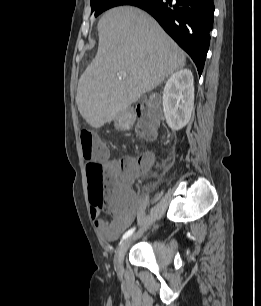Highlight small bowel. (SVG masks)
Wrapping results in <instances>:
<instances>
[{"label":"small bowel","mask_w":261,"mask_h":306,"mask_svg":"<svg viewBox=\"0 0 261 306\" xmlns=\"http://www.w3.org/2000/svg\"><path fill=\"white\" fill-rule=\"evenodd\" d=\"M154 156L147 153L143 156L139 164L132 158H124L115 161L113 165L117 168L116 188H123L127 195L117 198L109 210L112 219L110 221L101 217V210L91 208L90 214L98 230L100 238L105 242H114L134 221L140 205L141 199L131 190V184L135 177L136 169L148 170L153 164Z\"/></svg>","instance_id":"1"}]
</instances>
